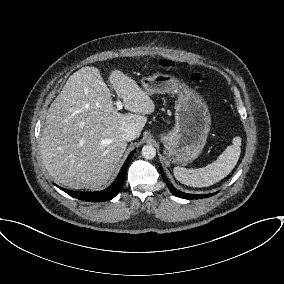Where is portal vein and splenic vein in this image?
Listing matches in <instances>:
<instances>
[{"mask_svg": "<svg viewBox=\"0 0 284 284\" xmlns=\"http://www.w3.org/2000/svg\"><path fill=\"white\" fill-rule=\"evenodd\" d=\"M116 107L117 110H121L123 108V104L119 99L116 101Z\"/></svg>", "mask_w": 284, "mask_h": 284, "instance_id": "portal-vein-and-splenic-vein-1", "label": "portal vein and splenic vein"}]
</instances>
